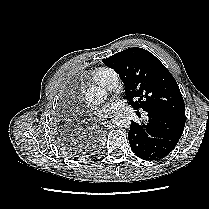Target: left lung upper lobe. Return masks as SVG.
<instances>
[{
	"mask_svg": "<svg viewBox=\"0 0 209 209\" xmlns=\"http://www.w3.org/2000/svg\"><path fill=\"white\" fill-rule=\"evenodd\" d=\"M102 62L119 74L126 98L135 110L185 117V104L176 80L152 53L128 48Z\"/></svg>",
	"mask_w": 209,
	"mask_h": 209,
	"instance_id": "1",
	"label": "left lung upper lobe"
}]
</instances>
